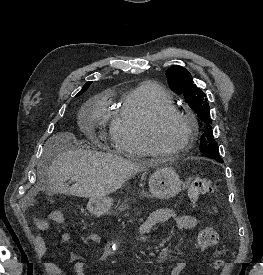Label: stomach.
Segmentation results:
<instances>
[{"instance_id":"0dacf381","label":"stomach","mask_w":263,"mask_h":275,"mask_svg":"<svg viewBox=\"0 0 263 275\" xmlns=\"http://www.w3.org/2000/svg\"><path fill=\"white\" fill-rule=\"evenodd\" d=\"M149 189L154 197L169 199L182 190V181L173 168L161 167L157 168L149 177ZM112 205V198H91L87 208L91 214L101 216L107 213Z\"/></svg>"}]
</instances>
